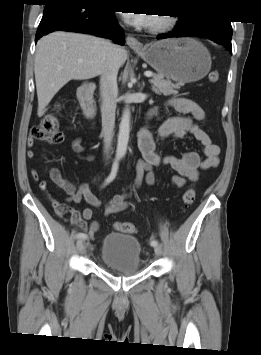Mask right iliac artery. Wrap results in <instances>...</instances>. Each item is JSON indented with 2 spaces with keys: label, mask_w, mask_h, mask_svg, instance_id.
I'll list each match as a JSON object with an SVG mask.
<instances>
[{
  "label": "right iliac artery",
  "mask_w": 261,
  "mask_h": 355,
  "mask_svg": "<svg viewBox=\"0 0 261 355\" xmlns=\"http://www.w3.org/2000/svg\"><path fill=\"white\" fill-rule=\"evenodd\" d=\"M118 161H119V158H115L114 160V163L112 165V170H111V173L110 175L106 178L105 182H104V186L105 185H108L110 182H112L114 180V178L116 177V174H117V170H118ZM76 238L78 239H81V240H85L87 239V235L85 233H78L76 235Z\"/></svg>",
  "instance_id": "right-iliac-artery-1"
}]
</instances>
